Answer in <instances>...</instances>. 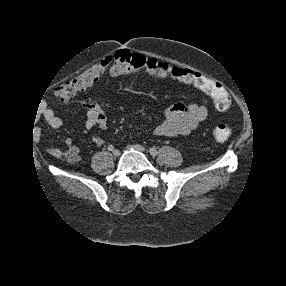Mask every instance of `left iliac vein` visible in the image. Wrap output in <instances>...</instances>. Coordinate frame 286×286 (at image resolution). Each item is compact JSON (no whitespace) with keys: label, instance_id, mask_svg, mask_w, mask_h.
<instances>
[{"label":"left iliac vein","instance_id":"4c4485c4","mask_svg":"<svg viewBox=\"0 0 286 286\" xmlns=\"http://www.w3.org/2000/svg\"><path fill=\"white\" fill-rule=\"evenodd\" d=\"M128 147L129 148H133V149H135L137 151H140L142 153H146V149L143 146L139 145V144L129 145Z\"/></svg>","mask_w":286,"mask_h":286}]
</instances>
